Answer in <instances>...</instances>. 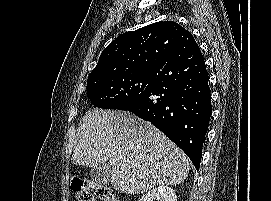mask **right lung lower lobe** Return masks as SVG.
I'll return each instance as SVG.
<instances>
[{"mask_svg": "<svg viewBox=\"0 0 271 201\" xmlns=\"http://www.w3.org/2000/svg\"><path fill=\"white\" fill-rule=\"evenodd\" d=\"M208 72L189 34L154 70L151 86L118 110L149 121L180 147L198 170L212 113Z\"/></svg>", "mask_w": 271, "mask_h": 201, "instance_id": "1", "label": "right lung lower lobe"}]
</instances>
